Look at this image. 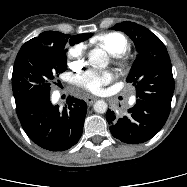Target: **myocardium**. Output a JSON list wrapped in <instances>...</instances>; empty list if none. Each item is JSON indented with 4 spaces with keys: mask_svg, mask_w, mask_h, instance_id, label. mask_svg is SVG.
<instances>
[{
    "mask_svg": "<svg viewBox=\"0 0 187 187\" xmlns=\"http://www.w3.org/2000/svg\"><path fill=\"white\" fill-rule=\"evenodd\" d=\"M116 60H117V63L119 65H121V66H125L126 65V60H125V58L122 55L116 56Z\"/></svg>",
    "mask_w": 187,
    "mask_h": 187,
    "instance_id": "f54148a6",
    "label": "myocardium"
}]
</instances>
